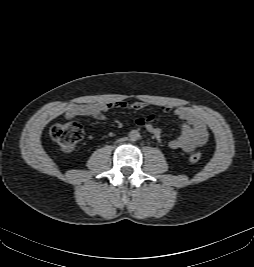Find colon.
Here are the masks:
<instances>
[{"label": "colon", "instance_id": "colon-1", "mask_svg": "<svg viewBox=\"0 0 254 267\" xmlns=\"http://www.w3.org/2000/svg\"><path fill=\"white\" fill-rule=\"evenodd\" d=\"M49 134L61 151L69 153L74 150L77 143L83 138L84 130L79 123L69 122L53 125ZM201 158L202 154L200 152H194L189 157L193 163L199 162Z\"/></svg>", "mask_w": 254, "mask_h": 267}]
</instances>
